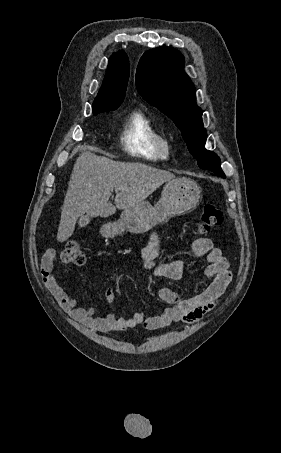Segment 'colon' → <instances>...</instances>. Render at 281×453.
<instances>
[{
	"label": "colon",
	"instance_id": "5ec220e1",
	"mask_svg": "<svg viewBox=\"0 0 281 453\" xmlns=\"http://www.w3.org/2000/svg\"><path fill=\"white\" fill-rule=\"evenodd\" d=\"M225 223V216L218 208L216 202L209 200L202 205V215L199 222L200 231L207 233L214 228L220 227ZM61 259L64 262H85L86 253L80 248L78 241L74 238H68L64 243L61 253Z\"/></svg>",
	"mask_w": 281,
	"mask_h": 453
}]
</instances>
